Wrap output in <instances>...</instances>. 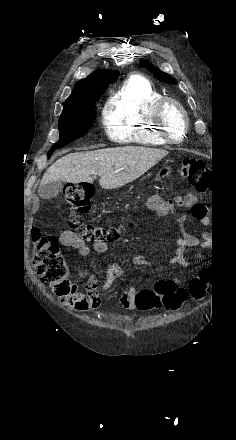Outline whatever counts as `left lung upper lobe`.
<instances>
[{
	"instance_id": "left-lung-upper-lobe-1",
	"label": "left lung upper lobe",
	"mask_w": 236,
	"mask_h": 440,
	"mask_svg": "<svg viewBox=\"0 0 236 440\" xmlns=\"http://www.w3.org/2000/svg\"><path fill=\"white\" fill-rule=\"evenodd\" d=\"M140 65L142 67L147 68L149 71H151L152 73H154L156 75L157 78H159L162 81H169L173 84H176V80L173 79L170 75H168L165 72H162L161 70L155 68L148 60H142L140 62Z\"/></svg>"
}]
</instances>
